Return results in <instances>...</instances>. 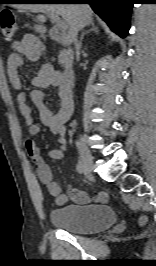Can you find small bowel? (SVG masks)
<instances>
[{
  "label": "small bowel",
  "instance_id": "c3829d8e",
  "mask_svg": "<svg viewBox=\"0 0 156 266\" xmlns=\"http://www.w3.org/2000/svg\"><path fill=\"white\" fill-rule=\"evenodd\" d=\"M13 50L7 58L6 73L12 87L19 90L21 85L20 70L24 65V57L31 61L36 60L39 58L41 50L37 38L32 35H25L20 41L14 42ZM33 85L36 89L29 94L18 92L16 99L19 111L25 119L28 134L36 136L40 129L33 121L31 107L28 104L29 99L36 107L41 123L58 137L59 147L50 150L49 157L56 160L60 159L66 149V123L73 112L71 91L64 89L60 75L50 65H44L39 69L33 79ZM50 86L58 87V109L56 112H53L44 103L42 89ZM25 150L34 163L37 178L54 198L57 205H65L69 199L77 204H88L92 201L106 203L108 201V194L105 191L97 192L93 198H90L84 191L73 187H70L66 194L62 193L60 184L53 178L52 170L40 155L35 141L28 138L25 141Z\"/></svg>",
  "mask_w": 156,
  "mask_h": 266
}]
</instances>
